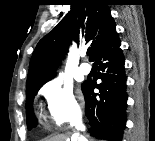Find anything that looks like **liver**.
Wrapping results in <instances>:
<instances>
[{
	"instance_id": "6515ba94",
	"label": "liver",
	"mask_w": 155,
	"mask_h": 141,
	"mask_svg": "<svg viewBox=\"0 0 155 141\" xmlns=\"http://www.w3.org/2000/svg\"><path fill=\"white\" fill-rule=\"evenodd\" d=\"M73 139H76V138H73ZM46 141H70V138L67 134H60V135L51 137V138L47 139Z\"/></svg>"
}]
</instances>
